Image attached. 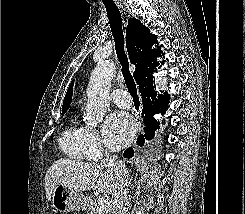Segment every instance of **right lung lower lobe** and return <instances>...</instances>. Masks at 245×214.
Segmentation results:
<instances>
[{
    "label": "right lung lower lobe",
    "instance_id": "right-lung-lower-lobe-1",
    "mask_svg": "<svg viewBox=\"0 0 245 214\" xmlns=\"http://www.w3.org/2000/svg\"><path fill=\"white\" fill-rule=\"evenodd\" d=\"M156 68V67H155ZM154 68V69H155ZM154 69L147 74L143 80L138 84L139 91L143 99V118L145 125V135H140L137 141L139 146H143L145 143V139L151 140L154 137L155 130L159 128V122H157L153 115L156 113L164 114L167 110V103L169 100V94L167 92H161L159 94L155 90V86L153 85L152 73ZM145 114V115H144ZM134 152L132 148L127 149L124 152V157L131 158Z\"/></svg>",
    "mask_w": 245,
    "mask_h": 214
}]
</instances>
